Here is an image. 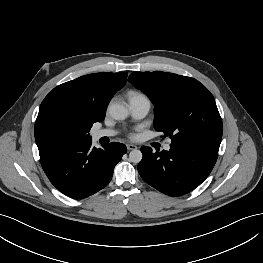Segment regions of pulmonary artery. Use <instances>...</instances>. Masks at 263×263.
I'll use <instances>...</instances> for the list:
<instances>
[{
    "label": "pulmonary artery",
    "mask_w": 263,
    "mask_h": 263,
    "mask_svg": "<svg viewBox=\"0 0 263 263\" xmlns=\"http://www.w3.org/2000/svg\"><path fill=\"white\" fill-rule=\"evenodd\" d=\"M130 109L134 119H142L150 110V101L146 96L130 99ZM115 134L116 132L112 129H99L92 132V137L94 140H98ZM164 149L166 151L170 150V142L164 146Z\"/></svg>",
    "instance_id": "pulmonary-artery-1"
}]
</instances>
